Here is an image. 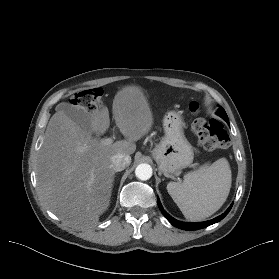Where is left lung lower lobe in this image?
Segmentation results:
<instances>
[{"mask_svg": "<svg viewBox=\"0 0 279 279\" xmlns=\"http://www.w3.org/2000/svg\"><path fill=\"white\" fill-rule=\"evenodd\" d=\"M233 205V204H232ZM232 205L228 208V210L223 213L222 215L216 217L215 219L206 221V222H200V223H186V222H181L178 221L174 218H172L169 214H167L165 212V210L163 209L162 205L160 204L159 200H158V206L159 209L162 211L163 215L165 216V218L175 227L179 228V229H183V230H198V229H202L205 228L209 225H212L214 223L219 222L220 220H222L230 211Z\"/></svg>", "mask_w": 279, "mask_h": 279, "instance_id": "1", "label": "left lung lower lobe"}]
</instances>
